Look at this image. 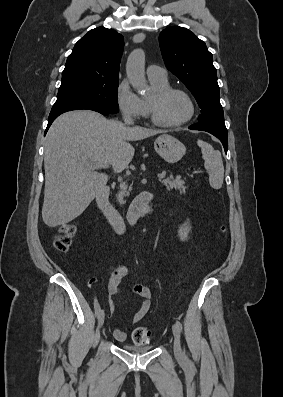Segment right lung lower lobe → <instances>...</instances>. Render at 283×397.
Returning <instances> with one entry per match:
<instances>
[{"instance_id":"obj_1","label":"right lung lower lobe","mask_w":283,"mask_h":397,"mask_svg":"<svg viewBox=\"0 0 283 397\" xmlns=\"http://www.w3.org/2000/svg\"><path fill=\"white\" fill-rule=\"evenodd\" d=\"M79 109H88V110H93V111H97L103 115H109L111 113L94 107V106H90V105H80V104H64V105H53L49 118H48V125L45 131V134L47 132V130L49 129L50 125L52 124V122L62 113L67 112V111H71V110H79Z\"/></svg>"}]
</instances>
